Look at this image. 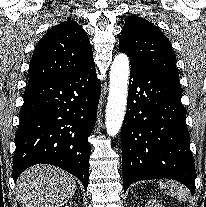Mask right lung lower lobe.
Wrapping results in <instances>:
<instances>
[{"label": "right lung lower lobe", "mask_w": 206, "mask_h": 207, "mask_svg": "<svg viewBox=\"0 0 206 207\" xmlns=\"http://www.w3.org/2000/svg\"><path fill=\"white\" fill-rule=\"evenodd\" d=\"M100 98L95 64L78 74L30 84L24 92L15 135L13 179L28 167L58 166L87 188L90 143Z\"/></svg>", "instance_id": "98d812e1"}]
</instances>
